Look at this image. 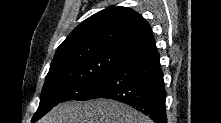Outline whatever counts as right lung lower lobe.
I'll return each instance as SVG.
<instances>
[{"instance_id": "98d812e1", "label": "right lung lower lobe", "mask_w": 221, "mask_h": 123, "mask_svg": "<svg viewBox=\"0 0 221 123\" xmlns=\"http://www.w3.org/2000/svg\"><path fill=\"white\" fill-rule=\"evenodd\" d=\"M159 59L156 48L130 55L98 81L90 99L120 101L156 123H166V91Z\"/></svg>"}]
</instances>
